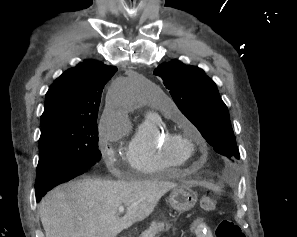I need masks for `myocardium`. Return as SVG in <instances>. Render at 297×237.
Here are the masks:
<instances>
[{
    "instance_id": "obj_1",
    "label": "myocardium",
    "mask_w": 297,
    "mask_h": 237,
    "mask_svg": "<svg viewBox=\"0 0 297 237\" xmlns=\"http://www.w3.org/2000/svg\"><path fill=\"white\" fill-rule=\"evenodd\" d=\"M170 143L185 154L188 158L196 151L197 141L184 134H171L169 136Z\"/></svg>"
}]
</instances>
